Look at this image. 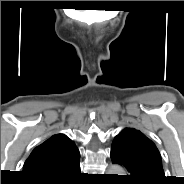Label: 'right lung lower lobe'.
<instances>
[{
  "mask_svg": "<svg viewBox=\"0 0 184 184\" xmlns=\"http://www.w3.org/2000/svg\"><path fill=\"white\" fill-rule=\"evenodd\" d=\"M80 160L72 163L66 171L53 179L34 180L35 184H73L75 179L80 175Z\"/></svg>",
  "mask_w": 184,
  "mask_h": 184,
  "instance_id": "obj_1",
  "label": "right lung lower lobe"
}]
</instances>
